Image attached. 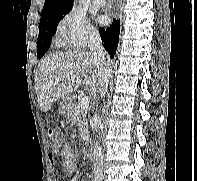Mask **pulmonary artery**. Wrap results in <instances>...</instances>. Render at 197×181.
Segmentation results:
<instances>
[{"label":"pulmonary artery","instance_id":"obj_1","mask_svg":"<svg viewBox=\"0 0 197 181\" xmlns=\"http://www.w3.org/2000/svg\"><path fill=\"white\" fill-rule=\"evenodd\" d=\"M93 3L99 7H102L106 4V0H93Z\"/></svg>","mask_w":197,"mask_h":181}]
</instances>
